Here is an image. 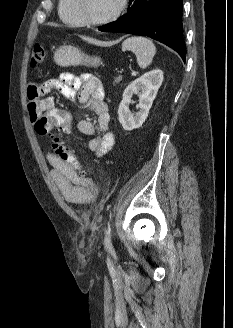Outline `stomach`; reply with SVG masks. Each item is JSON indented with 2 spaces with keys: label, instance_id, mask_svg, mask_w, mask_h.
Instances as JSON below:
<instances>
[{
  "label": "stomach",
  "instance_id": "0dacf381",
  "mask_svg": "<svg viewBox=\"0 0 233 328\" xmlns=\"http://www.w3.org/2000/svg\"><path fill=\"white\" fill-rule=\"evenodd\" d=\"M54 61L62 67L78 65L97 67L102 63L99 57L89 56L83 53L78 47L72 45L59 47L54 53Z\"/></svg>",
  "mask_w": 233,
  "mask_h": 328
}]
</instances>
